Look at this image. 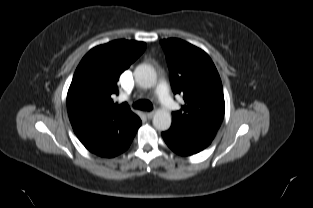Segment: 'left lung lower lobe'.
Here are the masks:
<instances>
[{
	"label": "left lung lower lobe",
	"mask_w": 313,
	"mask_h": 208,
	"mask_svg": "<svg viewBox=\"0 0 313 208\" xmlns=\"http://www.w3.org/2000/svg\"><path fill=\"white\" fill-rule=\"evenodd\" d=\"M162 136L169 148L182 156L196 154L211 143L209 140L187 137L173 129L163 132Z\"/></svg>",
	"instance_id": "obj_1"
}]
</instances>
